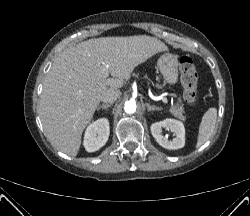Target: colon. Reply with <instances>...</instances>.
Listing matches in <instances>:
<instances>
[{"label":"colon","mask_w":250,"mask_h":216,"mask_svg":"<svg viewBox=\"0 0 250 216\" xmlns=\"http://www.w3.org/2000/svg\"><path fill=\"white\" fill-rule=\"evenodd\" d=\"M179 70L184 100L188 104H194L198 93V74L193 60L188 56L181 57Z\"/></svg>","instance_id":"1"}]
</instances>
